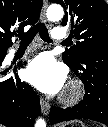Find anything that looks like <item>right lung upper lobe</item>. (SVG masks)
I'll return each instance as SVG.
<instances>
[{
  "label": "right lung upper lobe",
  "instance_id": "1",
  "mask_svg": "<svg viewBox=\"0 0 108 127\" xmlns=\"http://www.w3.org/2000/svg\"><path fill=\"white\" fill-rule=\"evenodd\" d=\"M43 0H0V50L12 45L11 36L39 19Z\"/></svg>",
  "mask_w": 108,
  "mask_h": 127
}]
</instances>
